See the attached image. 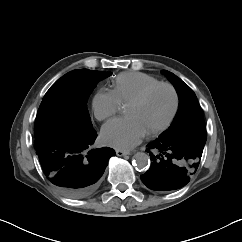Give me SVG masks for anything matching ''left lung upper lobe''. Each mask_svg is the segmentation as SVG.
Segmentation results:
<instances>
[{"mask_svg": "<svg viewBox=\"0 0 242 242\" xmlns=\"http://www.w3.org/2000/svg\"><path fill=\"white\" fill-rule=\"evenodd\" d=\"M173 83L179 97V109L171 126L159 136L169 143L205 145L206 128L197 97L193 90L175 74L162 70Z\"/></svg>", "mask_w": 242, "mask_h": 242, "instance_id": "obj_1", "label": "left lung upper lobe"}]
</instances>
